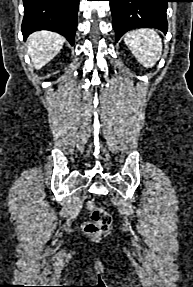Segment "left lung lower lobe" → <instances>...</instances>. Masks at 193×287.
<instances>
[{
  "instance_id": "obj_1",
  "label": "left lung lower lobe",
  "mask_w": 193,
  "mask_h": 287,
  "mask_svg": "<svg viewBox=\"0 0 193 287\" xmlns=\"http://www.w3.org/2000/svg\"><path fill=\"white\" fill-rule=\"evenodd\" d=\"M113 17L116 41L127 31L153 27L166 33V10L169 0H108Z\"/></svg>"
}]
</instances>
